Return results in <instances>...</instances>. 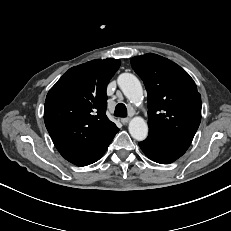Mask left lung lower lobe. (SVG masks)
I'll return each mask as SVG.
<instances>
[{"instance_id":"obj_1","label":"left lung lower lobe","mask_w":231,"mask_h":231,"mask_svg":"<svg viewBox=\"0 0 231 231\" xmlns=\"http://www.w3.org/2000/svg\"><path fill=\"white\" fill-rule=\"evenodd\" d=\"M139 146L148 158L160 164L172 163L186 151L152 134L139 142Z\"/></svg>"}]
</instances>
